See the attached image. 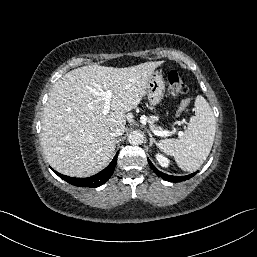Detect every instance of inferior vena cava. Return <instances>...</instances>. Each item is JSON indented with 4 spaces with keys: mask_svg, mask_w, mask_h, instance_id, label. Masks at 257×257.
Segmentation results:
<instances>
[{
    "mask_svg": "<svg viewBox=\"0 0 257 257\" xmlns=\"http://www.w3.org/2000/svg\"><path fill=\"white\" fill-rule=\"evenodd\" d=\"M124 133V128L122 127H118V128H115L113 129L111 132H110V135L112 137H117V136H120Z\"/></svg>",
    "mask_w": 257,
    "mask_h": 257,
    "instance_id": "1",
    "label": "inferior vena cava"
}]
</instances>
